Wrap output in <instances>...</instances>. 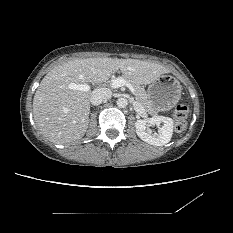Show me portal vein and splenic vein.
Instances as JSON below:
<instances>
[{
  "label": "portal vein and splenic vein",
  "mask_w": 233,
  "mask_h": 233,
  "mask_svg": "<svg viewBox=\"0 0 233 233\" xmlns=\"http://www.w3.org/2000/svg\"><path fill=\"white\" fill-rule=\"evenodd\" d=\"M110 85H111L112 88H120L122 86H126L127 88H129V90L133 94H135V89H134L133 85L131 83L127 82L122 77H119V78H116V79L112 80ZM69 88L86 92V91H89L91 87L86 83L85 84L71 83V84H69Z\"/></svg>",
  "instance_id": "obj_1"
}]
</instances>
